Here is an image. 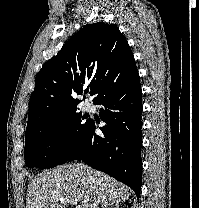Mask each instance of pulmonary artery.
Here are the masks:
<instances>
[{
  "label": "pulmonary artery",
  "instance_id": "pulmonary-artery-1",
  "mask_svg": "<svg viewBox=\"0 0 199 208\" xmlns=\"http://www.w3.org/2000/svg\"><path fill=\"white\" fill-rule=\"evenodd\" d=\"M83 107H84L85 110H91L92 109V104L88 103V102H85Z\"/></svg>",
  "mask_w": 199,
  "mask_h": 208
}]
</instances>
